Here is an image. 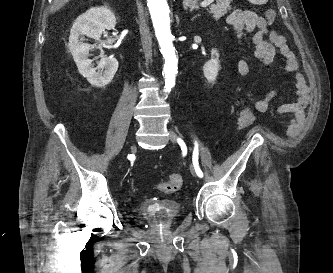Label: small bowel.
Here are the masks:
<instances>
[{
	"label": "small bowel",
	"mask_w": 333,
	"mask_h": 273,
	"mask_svg": "<svg viewBox=\"0 0 333 273\" xmlns=\"http://www.w3.org/2000/svg\"><path fill=\"white\" fill-rule=\"evenodd\" d=\"M228 24L235 30L240 43H245L250 38L254 47V57L260 61L262 66L271 65L277 53H280L285 58L284 69L295 77L297 100L293 103L282 105L280 111L283 114L292 116L291 128L296 130L305 107V85L296 56L288 47L285 37L274 30H270L268 28V20L250 9L233 10L228 17ZM236 66L240 75H250L251 69L245 60H238ZM276 94V91L272 90L265 97L257 98L249 90H246L248 100L258 112H266Z\"/></svg>",
	"instance_id": "c3829d8e"
}]
</instances>
